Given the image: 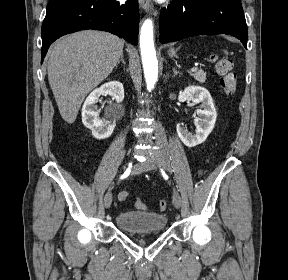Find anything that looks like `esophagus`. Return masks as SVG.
<instances>
[{
    "label": "esophagus",
    "instance_id": "1",
    "mask_svg": "<svg viewBox=\"0 0 288 280\" xmlns=\"http://www.w3.org/2000/svg\"><path fill=\"white\" fill-rule=\"evenodd\" d=\"M139 4L147 12L152 13L153 11V5L151 3V0H139Z\"/></svg>",
    "mask_w": 288,
    "mask_h": 280
}]
</instances>
